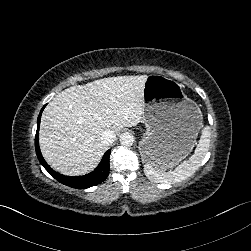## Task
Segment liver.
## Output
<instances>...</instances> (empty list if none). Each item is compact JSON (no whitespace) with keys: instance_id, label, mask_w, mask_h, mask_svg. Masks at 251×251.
<instances>
[{"instance_id":"1","label":"liver","mask_w":251,"mask_h":251,"mask_svg":"<svg viewBox=\"0 0 251 251\" xmlns=\"http://www.w3.org/2000/svg\"><path fill=\"white\" fill-rule=\"evenodd\" d=\"M147 75L108 77L71 86L45 108L39 143L46 162L64 175H84L100 161L106 129L136 126L144 112Z\"/></svg>"}]
</instances>
